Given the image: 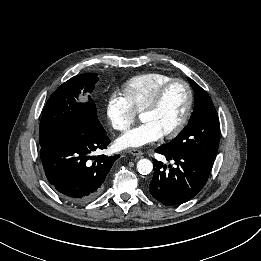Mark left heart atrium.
Wrapping results in <instances>:
<instances>
[{
  "mask_svg": "<svg viewBox=\"0 0 261 261\" xmlns=\"http://www.w3.org/2000/svg\"><path fill=\"white\" fill-rule=\"evenodd\" d=\"M161 137L162 134L151 124L142 123L120 136L117 139V145L120 148L141 147L158 141Z\"/></svg>",
  "mask_w": 261,
  "mask_h": 261,
  "instance_id": "obj_1",
  "label": "left heart atrium"
}]
</instances>
